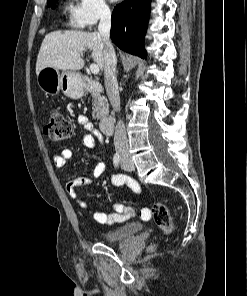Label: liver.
Segmentation results:
<instances>
[{"instance_id": "liver-1", "label": "liver", "mask_w": 247, "mask_h": 296, "mask_svg": "<svg viewBox=\"0 0 247 296\" xmlns=\"http://www.w3.org/2000/svg\"><path fill=\"white\" fill-rule=\"evenodd\" d=\"M87 49L91 51L94 62L103 70L104 43L99 33L75 30L48 33L37 56L36 73L45 67L64 71L80 70L84 66L83 54Z\"/></svg>"}]
</instances>
